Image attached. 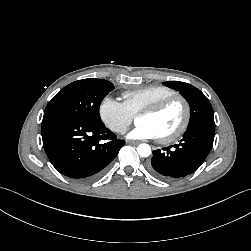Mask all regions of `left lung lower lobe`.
<instances>
[{
	"label": "left lung lower lobe",
	"instance_id": "obj_1",
	"mask_svg": "<svg viewBox=\"0 0 251 251\" xmlns=\"http://www.w3.org/2000/svg\"><path fill=\"white\" fill-rule=\"evenodd\" d=\"M214 127L211 124L189 127L178 144L153 151L149 171L157 178L167 181L196 171L212 148Z\"/></svg>",
	"mask_w": 251,
	"mask_h": 251
}]
</instances>
